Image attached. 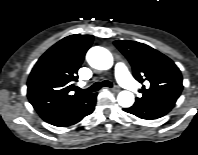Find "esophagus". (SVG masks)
<instances>
[{"instance_id":"obj_1","label":"esophagus","mask_w":198,"mask_h":155,"mask_svg":"<svg viewBox=\"0 0 198 155\" xmlns=\"http://www.w3.org/2000/svg\"><path fill=\"white\" fill-rule=\"evenodd\" d=\"M113 92H119L120 88L118 86H115L111 89Z\"/></svg>"}]
</instances>
